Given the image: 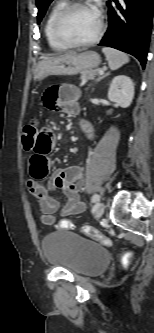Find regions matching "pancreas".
I'll return each mask as SVG.
<instances>
[{"instance_id":"pancreas-1","label":"pancreas","mask_w":154,"mask_h":333,"mask_svg":"<svg viewBox=\"0 0 154 333\" xmlns=\"http://www.w3.org/2000/svg\"><path fill=\"white\" fill-rule=\"evenodd\" d=\"M99 70H86L81 73V80H86V79H93L96 75H98Z\"/></svg>"}]
</instances>
